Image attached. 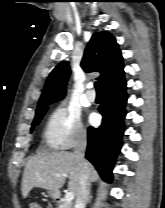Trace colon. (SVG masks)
Here are the masks:
<instances>
[{
    "label": "colon",
    "instance_id": "colon-1",
    "mask_svg": "<svg viewBox=\"0 0 165 208\" xmlns=\"http://www.w3.org/2000/svg\"><path fill=\"white\" fill-rule=\"evenodd\" d=\"M29 208H42V206L40 205V203L32 201L29 205Z\"/></svg>",
    "mask_w": 165,
    "mask_h": 208
}]
</instances>
